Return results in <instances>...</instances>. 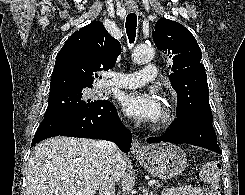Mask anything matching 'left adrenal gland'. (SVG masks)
Returning <instances> with one entry per match:
<instances>
[{
  "mask_svg": "<svg viewBox=\"0 0 245 195\" xmlns=\"http://www.w3.org/2000/svg\"><path fill=\"white\" fill-rule=\"evenodd\" d=\"M143 195H157V193L149 191L146 187H143Z\"/></svg>",
  "mask_w": 245,
  "mask_h": 195,
  "instance_id": "left-adrenal-gland-1",
  "label": "left adrenal gland"
}]
</instances>
